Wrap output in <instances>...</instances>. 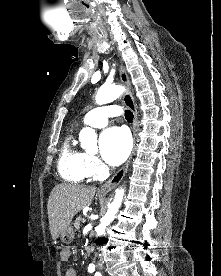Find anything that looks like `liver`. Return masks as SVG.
Wrapping results in <instances>:
<instances>
[{
    "mask_svg": "<svg viewBox=\"0 0 221 276\" xmlns=\"http://www.w3.org/2000/svg\"><path fill=\"white\" fill-rule=\"evenodd\" d=\"M96 187L61 183L56 185L48 200L49 229L53 240L68 227L73 217L89 206Z\"/></svg>",
    "mask_w": 221,
    "mask_h": 276,
    "instance_id": "liver-1",
    "label": "liver"
}]
</instances>
